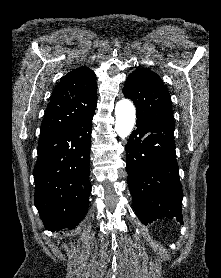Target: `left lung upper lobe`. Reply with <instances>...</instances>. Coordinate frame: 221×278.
Wrapping results in <instances>:
<instances>
[{
	"label": "left lung upper lobe",
	"instance_id": "1",
	"mask_svg": "<svg viewBox=\"0 0 221 278\" xmlns=\"http://www.w3.org/2000/svg\"><path fill=\"white\" fill-rule=\"evenodd\" d=\"M123 93L134 102L137 119L173 120L170 95L159 75L150 69L140 68L132 72Z\"/></svg>",
	"mask_w": 221,
	"mask_h": 278
}]
</instances>
